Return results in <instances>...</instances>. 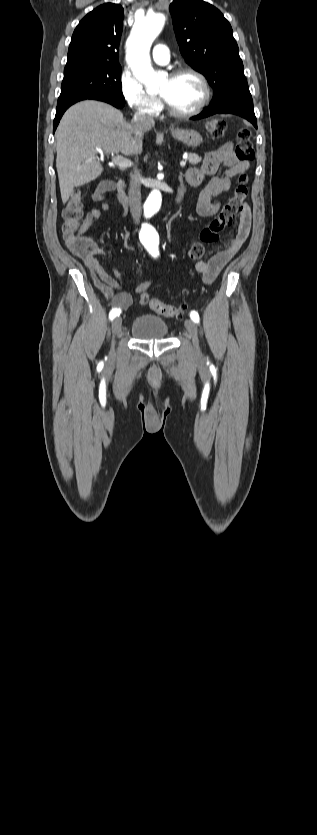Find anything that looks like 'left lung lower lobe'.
I'll list each match as a JSON object with an SVG mask.
<instances>
[{
  "label": "left lung lower lobe",
  "mask_w": 317,
  "mask_h": 835,
  "mask_svg": "<svg viewBox=\"0 0 317 835\" xmlns=\"http://www.w3.org/2000/svg\"><path fill=\"white\" fill-rule=\"evenodd\" d=\"M217 113H219V114L220 113H225V114L230 113V114L239 115V116L247 119L249 122H251L253 124V126L255 128H257V120H256V117H255L253 104H249V103L242 102V101H231V102H229L227 104H224L220 107L209 106L205 111H203L202 113H200L197 116L192 117L191 119H193V120L202 119V118H205V117L211 116L213 114H217Z\"/></svg>",
  "instance_id": "left-lung-lower-lobe-1"
}]
</instances>
